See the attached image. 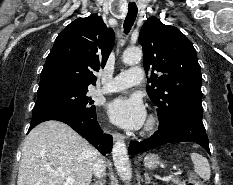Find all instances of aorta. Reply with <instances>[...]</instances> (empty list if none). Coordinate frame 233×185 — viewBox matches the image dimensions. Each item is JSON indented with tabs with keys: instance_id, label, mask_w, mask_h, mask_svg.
<instances>
[{
	"instance_id": "aorta-1",
	"label": "aorta",
	"mask_w": 233,
	"mask_h": 185,
	"mask_svg": "<svg viewBox=\"0 0 233 185\" xmlns=\"http://www.w3.org/2000/svg\"><path fill=\"white\" fill-rule=\"evenodd\" d=\"M142 58L140 48H128L123 53V62L127 65L137 64ZM113 162L116 171L123 181H129L132 177V169L129 161L126 145L123 141H117L112 149Z\"/></svg>"
}]
</instances>
